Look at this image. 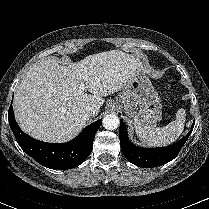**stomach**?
Here are the masks:
<instances>
[{"mask_svg":"<svg viewBox=\"0 0 209 209\" xmlns=\"http://www.w3.org/2000/svg\"><path fill=\"white\" fill-rule=\"evenodd\" d=\"M116 104L129 118L144 126L153 127L162 118L161 99L145 69L137 70L131 77Z\"/></svg>","mask_w":209,"mask_h":209,"instance_id":"obj_1","label":"stomach"}]
</instances>
